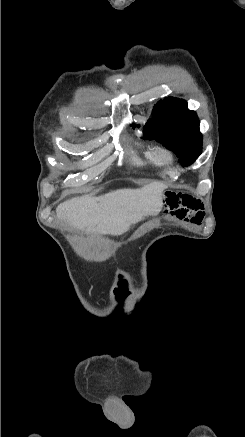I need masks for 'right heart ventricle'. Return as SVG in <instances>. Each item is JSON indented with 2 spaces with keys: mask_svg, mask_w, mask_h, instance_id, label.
<instances>
[{
  "mask_svg": "<svg viewBox=\"0 0 245 437\" xmlns=\"http://www.w3.org/2000/svg\"><path fill=\"white\" fill-rule=\"evenodd\" d=\"M131 151V161L136 166L158 167L162 165L161 160L151 148L133 146Z\"/></svg>",
  "mask_w": 245,
  "mask_h": 437,
  "instance_id": "1",
  "label": "right heart ventricle"
}]
</instances>
